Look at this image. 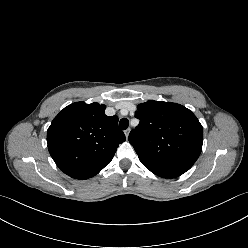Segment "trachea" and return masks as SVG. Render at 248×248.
<instances>
[{"label":"trachea","mask_w":248,"mask_h":248,"mask_svg":"<svg viewBox=\"0 0 248 248\" xmlns=\"http://www.w3.org/2000/svg\"><path fill=\"white\" fill-rule=\"evenodd\" d=\"M119 126L122 130H126L129 126V121L128 119L126 118H122L120 121H119Z\"/></svg>","instance_id":"1"}]
</instances>
